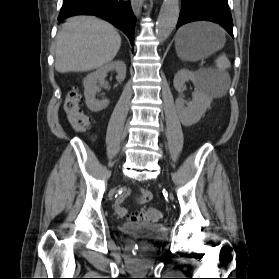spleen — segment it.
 Instances as JSON below:
<instances>
[{
  "mask_svg": "<svg viewBox=\"0 0 279 279\" xmlns=\"http://www.w3.org/2000/svg\"><path fill=\"white\" fill-rule=\"evenodd\" d=\"M215 63L222 79L207 84L206 92L212 97H222L227 93L230 85V77L228 73L225 72V70L230 67V61L222 54L215 60Z\"/></svg>",
  "mask_w": 279,
  "mask_h": 279,
  "instance_id": "1",
  "label": "spleen"
}]
</instances>
